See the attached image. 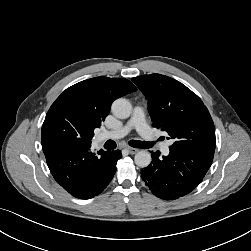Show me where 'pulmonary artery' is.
I'll return each mask as SVG.
<instances>
[{"label":"pulmonary artery","mask_w":251,"mask_h":251,"mask_svg":"<svg viewBox=\"0 0 251 251\" xmlns=\"http://www.w3.org/2000/svg\"><path fill=\"white\" fill-rule=\"evenodd\" d=\"M135 128L140 136L148 142L155 140L154 134L145 120V115L141 107H135L132 117L123 126L105 131L101 134V138L118 139L127 135ZM171 142L161 144L160 149L163 155L167 156L170 153Z\"/></svg>","instance_id":"obj_1"}]
</instances>
